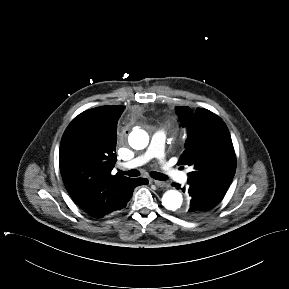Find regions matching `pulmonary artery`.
<instances>
[{
  "label": "pulmonary artery",
  "instance_id": "pulmonary-artery-1",
  "mask_svg": "<svg viewBox=\"0 0 289 289\" xmlns=\"http://www.w3.org/2000/svg\"><path fill=\"white\" fill-rule=\"evenodd\" d=\"M165 139L166 134L163 130L156 131L153 134L150 144L146 149V151L143 154L132 159L131 161L125 163L124 167L126 168L138 167L147 163L152 158H156L160 162L161 168L166 176L175 181L179 182L186 181L187 179L186 173L177 170L172 165H170L169 162L165 159V151H164Z\"/></svg>",
  "mask_w": 289,
  "mask_h": 289
}]
</instances>
